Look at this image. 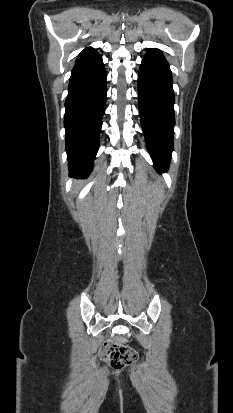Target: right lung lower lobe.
<instances>
[{
  "mask_svg": "<svg viewBox=\"0 0 233 413\" xmlns=\"http://www.w3.org/2000/svg\"><path fill=\"white\" fill-rule=\"evenodd\" d=\"M106 79L101 56L95 49L85 48L72 70L64 118L69 170L84 177L91 172L99 147Z\"/></svg>",
  "mask_w": 233,
  "mask_h": 413,
  "instance_id": "right-lung-lower-lobe-1",
  "label": "right lung lower lobe"
}]
</instances>
